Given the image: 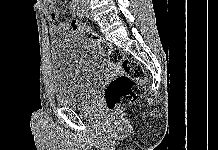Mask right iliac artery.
<instances>
[{
	"label": "right iliac artery",
	"mask_w": 218,
	"mask_h": 150,
	"mask_svg": "<svg viewBox=\"0 0 218 150\" xmlns=\"http://www.w3.org/2000/svg\"><path fill=\"white\" fill-rule=\"evenodd\" d=\"M78 15L80 16V17H83L84 15H83V9H80V7H78Z\"/></svg>",
	"instance_id": "right-iliac-artery-1"
}]
</instances>
